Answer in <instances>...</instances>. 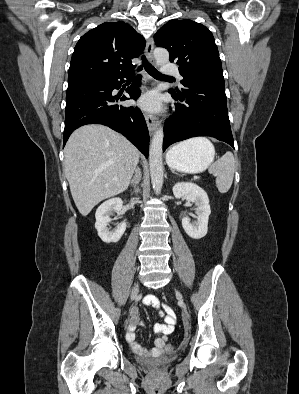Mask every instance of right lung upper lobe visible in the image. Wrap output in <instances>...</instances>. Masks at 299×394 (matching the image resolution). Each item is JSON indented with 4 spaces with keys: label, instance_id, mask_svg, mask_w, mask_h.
Here are the masks:
<instances>
[{
    "label": "right lung upper lobe",
    "instance_id": "1",
    "mask_svg": "<svg viewBox=\"0 0 299 394\" xmlns=\"http://www.w3.org/2000/svg\"><path fill=\"white\" fill-rule=\"evenodd\" d=\"M145 48L144 38L129 24L107 22L88 31L77 42L70 62L68 84L131 73Z\"/></svg>",
    "mask_w": 299,
    "mask_h": 394
}]
</instances>
